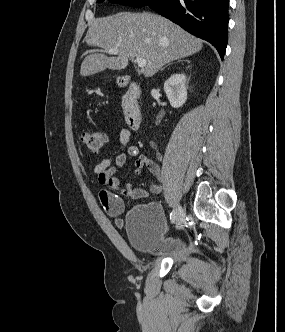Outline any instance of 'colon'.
<instances>
[{
    "mask_svg": "<svg viewBox=\"0 0 285 332\" xmlns=\"http://www.w3.org/2000/svg\"><path fill=\"white\" fill-rule=\"evenodd\" d=\"M82 144L93 152H100L106 143V136L99 131H84L80 135Z\"/></svg>",
    "mask_w": 285,
    "mask_h": 332,
    "instance_id": "obj_1",
    "label": "colon"
}]
</instances>
